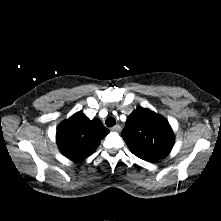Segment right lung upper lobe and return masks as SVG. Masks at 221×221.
<instances>
[{"label":"right lung upper lobe","mask_w":221,"mask_h":221,"mask_svg":"<svg viewBox=\"0 0 221 221\" xmlns=\"http://www.w3.org/2000/svg\"><path fill=\"white\" fill-rule=\"evenodd\" d=\"M108 133L99 119L90 120L80 111L58 126L56 141L64 156L81 161L96 150Z\"/></svg>","instance_id":"cb5924a9"}]
</instances>
